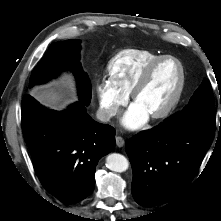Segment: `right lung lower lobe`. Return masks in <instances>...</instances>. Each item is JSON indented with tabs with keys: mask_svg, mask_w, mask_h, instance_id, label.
<instances>
[{
	"mask_svg": "<svg viewBox=\"0 0 221 221\" xmlns=\"http://www.w3.org/2000/svg\"><path fill=\"white\" fill-rule=\"evenodd\" d=\"M82 101L62 112L30 95L21 104L22 129L44 188L61 202L77 203L93 192L96 165L115 147V129L94 121Z\"/></svg>",
	"mask_w": 221,
	"mask_h": 221,
	"instance_id": "98d812e1",
	"label": "right lung lower lobe"
}]
</instances>
